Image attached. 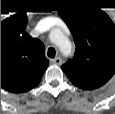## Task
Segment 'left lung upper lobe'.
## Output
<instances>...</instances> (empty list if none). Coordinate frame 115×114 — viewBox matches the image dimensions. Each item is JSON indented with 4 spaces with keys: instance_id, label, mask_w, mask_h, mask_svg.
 Returning a JSON list of instances; mask_svg holds the SVG:
<instances>
[{
    "instance_id": "left-lung-upper-lobe-1",
    "label": "left lung upper lobe",
    "mask_w": 115,
    "mask_h": 114,
    "mask_svg": "<svg viewBox=\"0 0 115 114\" xmlns=\"http://www.w3.org/2000/svg\"><path fill=\"white\" fill-rule=\"evenodd\" d=\"M76 45L73 59L61 66L70 81L84 90L104 85L115 74V25L93 8L60 13Z\"/></svg>"
}]
</instances>
